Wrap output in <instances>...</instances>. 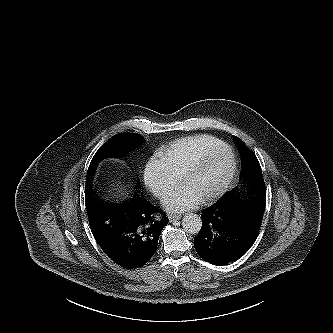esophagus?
<instances>
[{
    "label": "esophagus",
    "instance_id": "34e87169",
    "mask_svg": "<svg viewBox=\"0 0 333 333\" xmlns=\"http://www.w3.org/2000/svg\"><path fill=\"white\" fill-rule=\"evenodd\" d=\"M179 219H181V215H169V221L170 222H173V221H176V220H179Z\"/></svg>",
    "mask_w": 333,
    "mask_h": 333
}]
</instances>
